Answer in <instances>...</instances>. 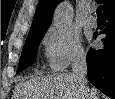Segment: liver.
Returning a JSON list of instances; mask_svg holds the SVG:
<instances>
[{
	"mask_svg": "<svg viewBox=\"0 0 115 99\" xmlns=\"http://www.w3.org/2000/svg\"><path fill=\"white\" fill-rule=\"evenodd\" d=\"M90 99H99L95 88L89 89ZM12 99H81L72 73L34 77L15 87Z\"/></svg>",
	"mask_w": 115,
	"mask_h": 99,
	"instance_id": "1",
	"label": "liver"
}]
</instances>
